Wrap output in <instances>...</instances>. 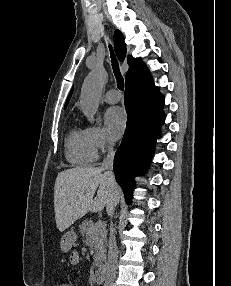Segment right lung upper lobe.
<instances>
[{"label": "right lung upper lobe", "instance_id": "1", "mask_svg": "<svg viewBox=\"0 0 231 286\" xmlns=\"http://www.w3.org/2000/svg\"><path fill=\"white\" fill-rule=\"evenodd\" d=\"M115 51L120 61H123L126 56V45L124 43V38L119 30L114 33ZM129 70L126 75V82L130 79L148 72L143 62L137 58L128 56ZM71 94L69 95L65 107L68 104Z\"/></svg>", "mask_w": 231, "mask_h": 286}]
</instances>
